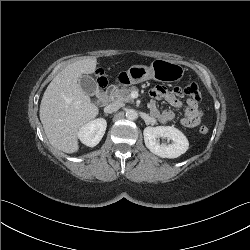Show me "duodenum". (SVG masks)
<instances>
[{
    "mask_svg": "<svg viewBox=\"0 0 250 250\" xmlns=\"http://www.w3.org/2000/svg\"><path fill=\"white\" fill-rule=\"evenodd\" d=\"M115 88V84H111L103 93L98 97V102L100 104H107L110 101L111 93Z\"/></svg>",
    "mask_w": 250,
    "mask_h": 250,
    "instance_id": "obj_1",
    "label": "duodenum"
}]
</instances>
